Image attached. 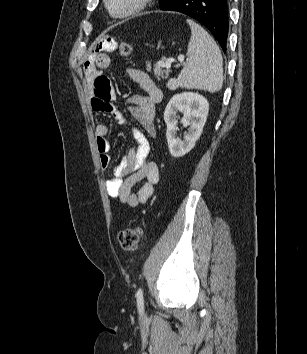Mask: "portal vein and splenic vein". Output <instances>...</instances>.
Here are the masks:
<instances>
[{
    "mask_svg": "<svg viewBox=\"0 0 307 354\" xmlns=\"http://www.w3.org/2000/svg\"><path fill=\"white\" fill-rule=\"evenodd\" d=\"M178 61H179V63H182V62L184 61V56H179V57H178ZM173 62H175V59H173V58H168V59H166L165 62L160 61L159 64H160L161 66L165 67L166 69H169V68L171 67V64H172Z\"/></svg>",
    "mask_w": 307,
    "mask_h": 354,
    "instance_id": "obj_1",
    "label": "portal vein and splenic vein"
}]
</instances>
